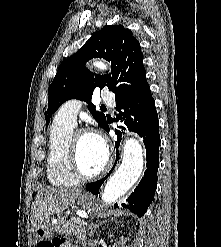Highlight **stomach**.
<instances>
[{"label":"stomach","mask_w":221,"mask_h":247,"mask_svg":"<svg viewBox=\"0 0 221 247\" xmlns=\"http://www.w3.org/2000/svg\"><path fill=\"white\" fill-rule=\"evenodd\" d=\"M78 204L81 207L88 209L91 206V199L86 194H80L78 197ZM53 233L54 225L49 220L43 222L34 230L36 243L50 239L53 236Z\"/></svg>","instance_id":"0dacf381"}]
</instances>
